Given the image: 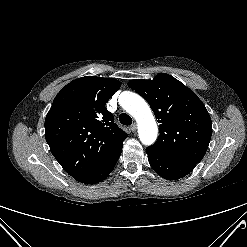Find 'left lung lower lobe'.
<instances>
[{"mask_svg": "<svg viewBox=\"0 0 247 247\" xmlns=\"http://www.w3.org/2000/svg\"><path fill=\"white\" fill-rule=\"evenodd\" d=\"M151 167L167 180H177L189 174L197 163L180 160L152 147L146 149Z\"/></svg>", "mask_w": 247, "mask_h": 247, "instance_id": "left-lung-lower-lobe-1", "label": "left lung lower lobe"}]
</instances>
